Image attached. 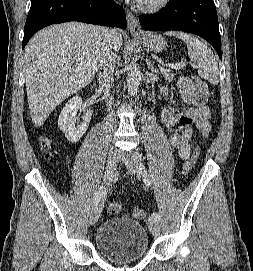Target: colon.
<instances>
[{"instance_id":"1","label":"colon","mask_w":253,"mask_h":271,"mask_svg":"<svg viewBox=\"0 0 253 271\" xmlns=\"http://www.w3.org/2000/svg\"><path fill=\"white\" fill-rule=\"evenodd\" d=\"M194 81L199 88V90L207 97L208 96V90L206 84L198 79L194 78ZM39 144L44 152L46 157H49L51 155V141L47 136H41L39 139ZM198 159V152L195 151L192 156L185 162L183 167V174L187 175L192 168L194 167L196 161ZM121 211V206L118 203L112 202L107 205V212L111 215H117ZM134 215L136 218H143L144 212L141 209H135Z\"/></svg>"}]
</instances>
